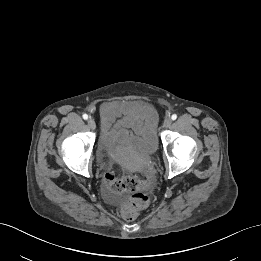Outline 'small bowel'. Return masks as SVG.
Listing matches in <instances>:
<instances>
[{"label": "small bowel", "mask_w": 261, "mask_h": 261, "mask_svg": "<svg viewBox=\"0 0 261 261\" xmlns=\"http://www.w3.org/2000/svg\"><path fill=\"white\" fill-rule=\"evenodd\" d=\"M100 117L106 137L125 129L151 132L157 123L154 109L141 101H106L100 107Z\"/></svg>", "instance_id": "obj_1"}]
</instances>
